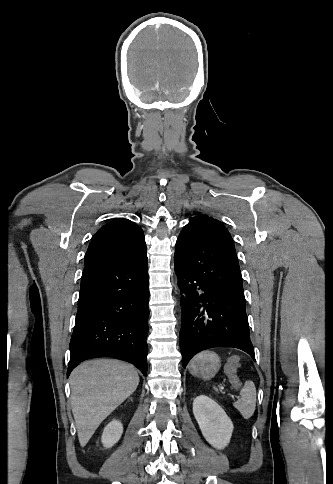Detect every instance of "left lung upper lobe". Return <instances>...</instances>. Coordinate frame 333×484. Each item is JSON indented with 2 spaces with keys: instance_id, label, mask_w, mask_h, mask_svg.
<instances>
[{
  "instance_id": "1",
  "label": "left lung upper lobe",
  "mask_w": 333,
  "mask_h": 484,
  "mask_svg": "<svg viewBox=\"0 0 333 484\" xmlns=\"http://www.w3.org/2000/svg\"><path fill=\"white\" fill-rule=\"evenodd\" d=\"M196 217L212 218V217H209V216H207V215H198V216H196ZM196 217H194V218H196Z\"/></svg>"
}]
</instances>
